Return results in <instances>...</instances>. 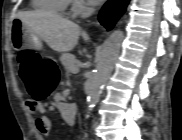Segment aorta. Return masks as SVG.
Listing matches in <instances>:
<instances>
[{
	"label": "aorta",
	"mask_w": 182,
	"mask_h": 140,
	"mask_svg": "<svg viewBox=\"0 0 182 140\" xmlns=\"http://www.w3.org/2000/svg\"><path fill=\"white\" fill-rule=\"evenodd\" d=\"M124 34L121 30H115L104 42L98 57L96 70L91 78L87 96V108L91 111L99 100L102 88L109 77L115 61L118 57Z\"/></svg>",
	"instance_id": "762f6f07"
}]
</instances>
